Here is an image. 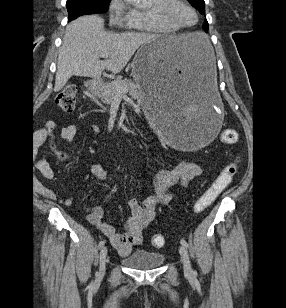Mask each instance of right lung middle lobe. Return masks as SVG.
I'll return each mask as SVG.
<instances>
[{
  "label": "right lung middle lobe",
  "mask_w": 286,
  "mask_h": 308,
  "mask_svg": "<svg viewBox=\"0 0 286 308\" xmlns=\"http://www.w3.org/2000/svg\"><path fill=\"white\" fill-rule=\"evenodd\" d=\"M111 0H67L68 21L85 14L104 13Z\"/></svg>",
  "instance_id": "1"
}]
</instances>
